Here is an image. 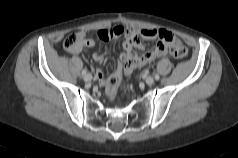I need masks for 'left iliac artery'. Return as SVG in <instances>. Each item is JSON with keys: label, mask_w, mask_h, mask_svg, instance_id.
<instances>
[{"label": "left iliac artery", "mask_w": 238, "mask_h": 158, "mask_svg": "<svg viewBox=\"0 0 238 158\" xmlns=\"http://www.w3.org/2000/svg\"><path fill=\"white\" fill-rule=\"evenodd\" d=\"M160 76L158 74H155V79L159 80Z\"/></svg>", "instance_id": "1"}]
</instances>
